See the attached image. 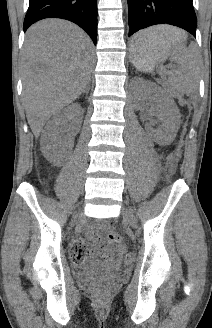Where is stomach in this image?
<instances>
[{
  "label": "stomach",
  "mask_w": 212,
  "mask_h": 328,
  "mask_svg": "<svg viewBox=\"0 0 212 328\" xmlns=\"http://www.w3.org/2000/svg\"><path fill=\"white\" fill-rule=\"evenodd\" d=\"M170 47L167 46L163 49H144L135 50L131 47V60L134 66L142 71L150 72L154 69L157 63L164 61L169 52Z\"/></svg>",
  "instance_id": "1"
}]
</instances>
